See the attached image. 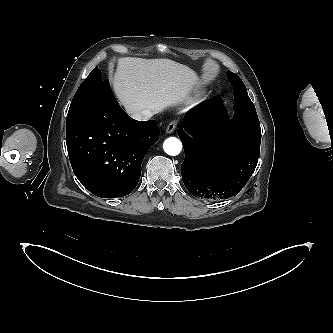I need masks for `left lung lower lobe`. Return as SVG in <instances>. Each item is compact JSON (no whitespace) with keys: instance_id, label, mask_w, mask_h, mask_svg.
I'll return each mask as SVG.
<instances>
[{"instance_id":"obj_1","label":"left lung lower lobe","mask_w":333,"mask_h":333,"mask_svg":"<svg viewBox=\"0 0 333 333\" xmlns=\"http://www.w3.org/2000/svg\"><path fill=\"white\" fill-rule=\"evenodd\" d=\"M242 121L228 120L220 97L189 111L178 135L185 160L182 179L194 196L220 200L237 195L258 163L261 131L254 108L236 101Z\"/></svg>"}]
</instances>
